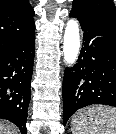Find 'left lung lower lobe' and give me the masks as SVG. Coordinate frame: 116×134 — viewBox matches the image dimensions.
<instances>
[{"label":"left lung lower lobe","mask_w":116,"mask_h":134,"mask_svg":"<svg viewBox=\"0 0 116 134\" xmlns=\"http://www.w3.org/2000/svg\"><path fill=\"white\" fill-rule=\"evenodd\" d=\"M81 23L83 45L77 63L63 79L64 126L78 109L116 107V21L70 12Z\"/></svg>","instance_id":"0a47b994"}]
</instances>
